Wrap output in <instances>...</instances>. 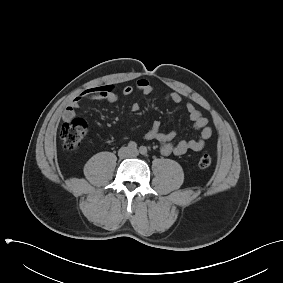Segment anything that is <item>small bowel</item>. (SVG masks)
I'll return each mask as SVG.
<instances>
[{
  "instance_id": "c3829d8e",
  "label": "small bowel",
  "mask_w": 283,
  "mask_h": 283,
  "mask_svg": "<svg viewBox=\"0 0 283 283\" xmlns=\"http://www.w3.org/2000/svg\"><path fill=\"white\" fill-rule=\"evenodd\" d=\"M135 88L143 94H150L153 92V86L146 78L138 79ZM135 88L131 85H127L122 89V94L129 96L134 92ZM85 98L114 103L118 100V95L113 85H102L84 90L68 103L63 110L62 119L64 121L72 120L75 116L76 109ZM166 99L174 103H181L182 101L181 95L177 92H169L166 95ZM185 108L193 128L199 131L198 137L175 142L176 132L162 131L159 121L153 122L151 128L144 135L146 140H155L160 144V151L163 155H183L188 151H201L204 148L206 141L213 134L212 128L209 126L208 118L204 117L194 104L187 103ZM139 109L140 107L138 104H133L131 107L133 112H138Z\"/></svg>"
}]
</instances>
